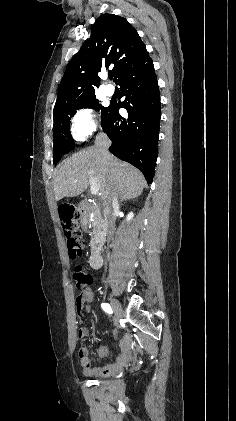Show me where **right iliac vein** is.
Segmentation results:
<instances>
[{
  "mask_svg": "<svg viewBox=\"0 0 236 421\" xmlns=\"http://www.w3.org/2000/svg\"><path fill=\"white\" fill-rule=\"evenodd\" d=\"M111 302H112V306H113V309H114V313H115L116 318H117L116 325H118V321L123 316L122 306L116 299H112Z\"/></svg>",
  "mask_w": 236,
  "mask_h": 421,
  "instance_id": "obj_1",
  "label": "right iliac vein"
}]
</instances>
